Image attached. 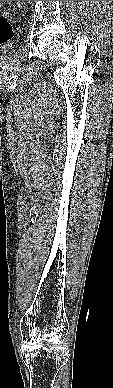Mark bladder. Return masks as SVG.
<instances>
[{
	"mask_svg": "<svg viewBox=\"0 0 113 388\" xmlns=\"http://www.w3.org/2000/svg\"><path fill=\"white\" fill-rule=\"evenodd\" d=\"M5 47L4 46H0V54L3 53L5 51Z\"/></svg>",
	"mask_w": 113,
	"mask_h": 388,
	"instance_id": "bladder-1",
	"label": "bladder"
}]
</instances>
